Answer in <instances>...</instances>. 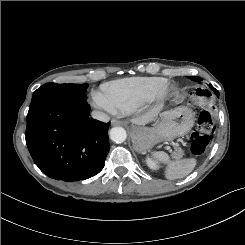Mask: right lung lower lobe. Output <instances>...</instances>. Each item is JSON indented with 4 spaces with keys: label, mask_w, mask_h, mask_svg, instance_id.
<instances>
[{
    "label": "right lung lower lobe",
    "mask_w": 245,
    "mask_h": 245,
    "mask_svg": "<svg viewBox=\"0 0 245 245\" xmlns=\"http://www.w3.org/2000/svg\"><path fill=\"white\" fill-rule=\"evenodd\" d=\"M89 112L85 95L50 93L31 101L26 144L35 164L50 178L84 180L103 169L110 123L89 118Z\"/></svg>",
    "instance_id": "right-lung-lower-lobe-1"
}]
</instances>
